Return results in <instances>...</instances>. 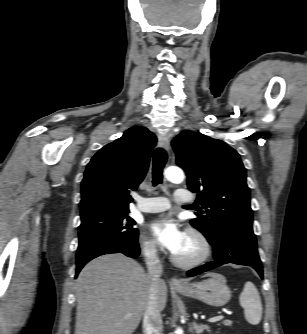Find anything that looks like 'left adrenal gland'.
<instances>
[{
  "label": "left adrenal gland",
  "mask_w": 307,
  "mask_h": 334,
  "mask_svg": "<svg viewBox=\"0 0 307 334\" xmlns=\"http://www.w3.org/2000/svg\"><path fill=\"white\" fill-rule=\"evenodd\" d=\"M193 329L197 334H201L204 330L210 332V327L208 325L198 324L196 322H193Z\"/></svg>",
  "instance_id": "1"
}]
</instances>
